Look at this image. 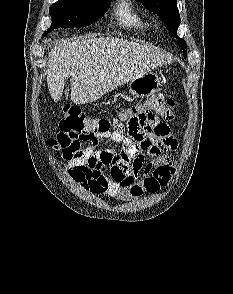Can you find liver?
Segmentation results:
<instances>
[{
	"label": "liver",
	"mask_w": 233,
	"mask_h": 294,
	"mask_svg": "<svg viewBox=\"0 0 233 294\" xmlns=\"http://www.w3.org/2000/svg\"><path fill=\"white\" fill-rule=\"evenodd\" d=\"M48 61L47 84L52 99H61L71 76V100L82 105L172 59L149 46L102 37L59 43L49 52Z\"/></svg>",
	"instance_id": "1"
}]
</instances>
